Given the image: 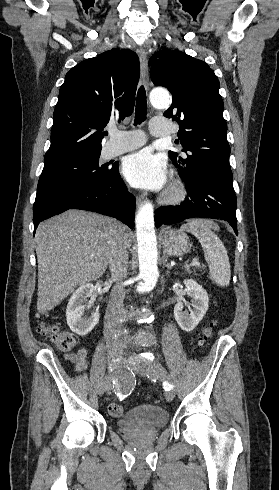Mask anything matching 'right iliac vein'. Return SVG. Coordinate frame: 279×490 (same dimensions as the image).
I'll use <instances>...</instances> for the list:
<instances>
[{
  "mask_svg": "<svg viewBox=\"0 0 279 490\" xmlns=\"http://www.w3.org/2000/svg\"><path fill=\"white\" fill-rule=\"evenodd\" d=\"M109 363L111 366V374L110 376H106L103 381L100 383V388H99V395H102L107 389L111 388V382H112V376L114 371L116 370L118 363H117V355L116 352L110 353L109 356Z\"/></svg>",
  "mask_w": 279,
  "mask_h": 490,
  "instance_id": "1",
  "label": "right iliac vein"
}]
</instances>
